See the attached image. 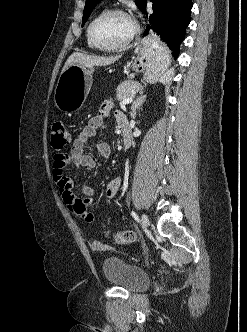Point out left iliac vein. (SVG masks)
Instances as JSON below:
<instances>
[{"mask_svg":"<svg viewBox=\"0 0 247 332\" xmlns=\"http://www.w3.org/2000/svg\"><path fill=\"white\" fill-rule=\"evenodd\" d=\"M141 222H142L143 228L146 229L148 227V225H149V219H148V217H147L146 214H142V216H141Z\"/></svg>","mask_w":247,"mask_h":332,"instance_id":"obj_1","label":"left iliac vein"}]
</instances>
